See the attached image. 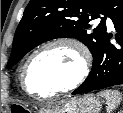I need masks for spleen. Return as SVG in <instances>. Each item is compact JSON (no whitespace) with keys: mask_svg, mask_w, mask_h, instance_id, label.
Masks as SVG:
<instances>
[{"mask_svg":"<svg viewBox=\"0 0 123 113\" xmlns=\"http://www.w3.org/2000/svg\"><path fill=\"white\" fill-rule=\"evenodd\" d=\"M98 95L106 100L107 113H111L116 109L122 100V94L116 90H105L100 92Z\"/></svg>","mask_w":123,"mask_h":113,"instance_id":"obj_1","label":"spleen"}]
</instances>
